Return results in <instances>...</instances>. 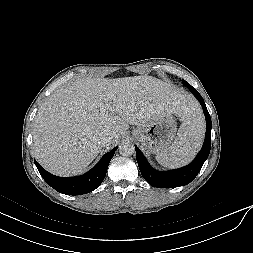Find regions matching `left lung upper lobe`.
<instances>
[{"mask_svg":"<svg viewBox=\"0 0 253 253\" xmlns=\"http://www.w3.org/2000/svg\"><path fill=\"white\" fill-rule=\"evenodd\" d=\"M183 83H184L185 85H188V83H187L185 80H183Z\"/></svg>","mask_w":253,"mask_h":253,"instance_id":"5c2ea615","label":"left lung upper lobe"}]
</instances>
